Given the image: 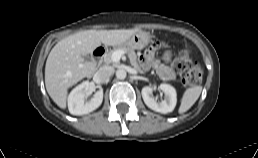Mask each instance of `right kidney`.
Here are the masks:
<instances>
[{
	"mask_svg": "<svg viewBox=\"0 0 258 158\" xmlns=\"http://www.w3.org/2000/svg\"><path fill=\"white\" fill-rule=\"evenodd\" d=\"M91 83L84 81L76 86L68 96V109L72 115H85L96 110L103 101V91H97L92 99L85 102V96L90 92Z\"/></svg>",
	"mask_w": 258,
	"mask_h": 158,
	"instance_id": "ca27d5eb",
	"label": "right kidney"
}]
</instances>
